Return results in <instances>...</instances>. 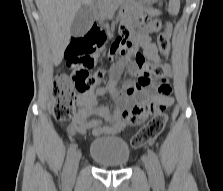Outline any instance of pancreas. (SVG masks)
<instances>
[{
    "label": "pancreas",
    "instance_id": "pancreas-1",
    "mask_svg": "<svg viewBox=\"0 0 223 191\" xmlns=\"http://www.w3.org/2000/svg\"><path fill=\"white\" fill-rule=\"evenodd\" d=\"M121 2L122 0H102L99 7L105 17H112Z\"/></svg>",
    "mask_w": 223,
    "mask_h": 191
}]
</instances>
